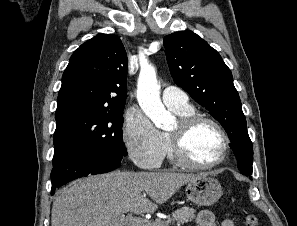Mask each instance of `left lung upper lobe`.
I'll return each mask as SVG.
<instances>
[{"label":"left lung upper lobe","mask_w":297,"mask_h":226,"mask_svg":"<svg viewBox=\"0 0 297 226\" xmlns=\"http://www.w3.org/2000/svg\"><path fill=\"white\" fill-rule=\"evenodd\" d=\"M163 43L173 80L221 123L238 169L251 175L253 145L230 69L214 48L190 30L167 35Z\"/></svg>","instance_id":"obj_1"}]
</instances>
